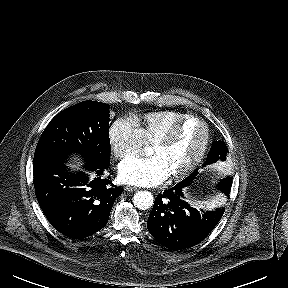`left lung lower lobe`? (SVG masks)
<instances>
[{"label": "left lung lower lobe", "instance_id": "0a47b994", "mask_svg": "<svg viewBox=\"0 0 288 288\" xmlns=\"http://www.w3.org/2000/svg\"><path fill=\"white\" fill-rule=\"evenodd\" d=\"M179 182L155 198L147 227L156 241L170 250H183L203 241L224 214V208L200 214L184 201ZM226 196L229 192L222 191Z\"/></svg>", "mask_w": 288, "mask_h": 288}]
</instances>
